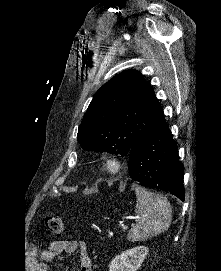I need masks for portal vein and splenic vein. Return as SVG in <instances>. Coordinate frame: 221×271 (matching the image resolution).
<instances>
[{
	"label": "portal vein and splenic vein",
	"instance_id": "18ae733b",
	"mask_svg": "<svg viewBox=\"0 0 221 271\" xmlns=\"http://www.w3.org/2000/svg\"><path fill=\"white\" fill-rule=\"evenodd\" d=\"M124 229H127V225H123Z\"/></svg>",
	"mask_w": 221,
	"mask_h": 271
}]
</instances>
